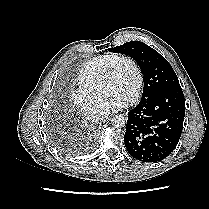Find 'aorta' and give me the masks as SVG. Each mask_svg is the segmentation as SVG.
<instances>
[{
    "mask_svg": "<svg viewBox=\"0 0 209 209\" xmlns=\"http://www.w3.org/2000/svg\"><path fill=\"white\" fill-rule=\"evenodd\" d=\"M111 124L116 127V128H121V127H124L125 124H126V117L122 114H118V115H114L112 118H111Z\"/></svg>",
    "mask_w": 209,
    "mask_h": 209,
    "instance_id": "aorta-1",
    "label": "aorta"
}]
</instances>
